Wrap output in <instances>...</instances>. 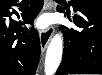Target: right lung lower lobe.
Masks as SVG:
<instances>
[{
	"mask_svg": "<svg viewBox=\"0 0 102 75\" xmlns=\"http://www.w3.org/2000/svg\"><path fill=\"white\" fill-rule=\"evenodd\" d=\"M18 0H0V75H35L40 55L38 31L21 28L23 23L33 24V20L43 6V0H23L16 15L19 22L5 17L11 15L9 8ZM20 5V4H19Z\"/></svg>",
	"mask_w": 102,
	"mask_h": 75,
	"instance_id": "right-lung-lower-lobe-1",
	"label": "right lung lower lobe"
}]
</instances>
